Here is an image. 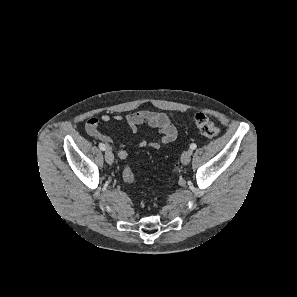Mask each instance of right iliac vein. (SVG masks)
<instances>
[{"mask_svg":"<svg viewBox=\"0 0 297 297\" xmlns=\"http://www.w3.org/2000/svg\"><path fill=\"white\" fill-rule=\"evenodd\" d=\"M105 160L110 165L113 164V162H114L113 153L110 150H108V149L105 152Z\"/></svg>","mask_w":297,"mask_h":297,"instance_id":"obj_1","label":"right iliac vein"}]
</instances>
